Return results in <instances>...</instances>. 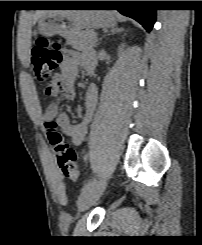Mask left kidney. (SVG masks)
<instances>
[{"instance_id":"5707ae66","label":"left kidney","mask_w":202,"mask_h":245,"mask_svg":"<svg viewBox=\"0 0 202 245\" xmlns=\"http://www.w3.org/2000/svg\"><path fill=\"white\" fill-rule=\"evenodd\" d=\"M125 47L124 44H122L120 47H119V50H118V53L120 54L122 51H123V48Z\"/></svg>"}]
</instances>
